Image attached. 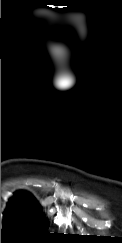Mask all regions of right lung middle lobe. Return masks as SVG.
Wrapping results in <instances>:
<instances>
[{"mask_svg": "<svg viewBox=\"0 0 122 243\" xmlns=\"http://www.w3.org/2000/svg\"><path fill=\"white\" fill-rule=\"evenodd\" d=\"M1 231L41 239L45 236L48 222L38 208L18 202H9L3 217Z\"/></svg>", "mask_w": 122, "mask_h": 243, "instance_id": "dd1d6c3e", "label": "right lung middle lobe"}]
</instances>
